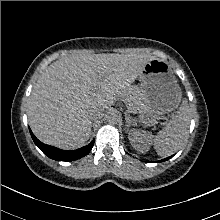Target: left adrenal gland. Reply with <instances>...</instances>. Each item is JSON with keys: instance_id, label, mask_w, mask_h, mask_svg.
I'll use <instances>...</instances> for the list:
<instances>
[{"instance_id": "obj_1", "label": "left adrenal gland", "mask_w": 220, "mask_h": 220, "mask_svg": "<svg viewBox=\"0 0 220 220\" xmlns=\"http://www.w3.org/2000/svg\"><path fill=\"white\" fill-rule=\"evenodd\" d=\"M125 120H126V125H125L126 127L125 128L127 131H129V127L131 124V119H130L129 115H127V114L125 115Z\"/></svg>"}]
</instances>
